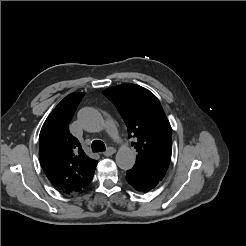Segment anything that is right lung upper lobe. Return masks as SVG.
<instances>
[{"instance_id":"obj_1","label":"right lung upper lobe","mask_w":246,"mask_h":246,"mask_svg":"<svg viewBox=\"0 0 246 246\" xmlns=\"http://www.w3.org/2000/svg\"><path fill=\"white\" fill-rule=\"evenodd\" d=\"M84 94L75 92L66 96L47 117L39 136L42 169L51 184L66 194L84 189L97 165L69 131L70 121Z\"/></svg>"}]
</instances>
